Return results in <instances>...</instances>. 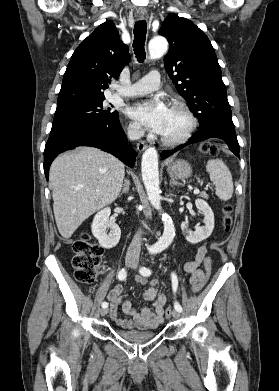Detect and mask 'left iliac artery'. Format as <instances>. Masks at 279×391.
I'll return each instance as SVG.
<instances>
[{
    "label": "left iliac artery",
    "mask_w": 279,
    "mask_h": 391,
    "mask_svg": "<svg viewBox=\"0 0 279 391\" xmlns=\"http://www.w3.org/2000/svg\"><path fill=\"white\" fill-rule=\"evenodd\" d=\"M155 252H156V250H152L151 251V253H155ZM140 273L143 276H150L151 275V270L149 268H146V267H141L140 268ZM171 279H172V288H173V291L175 293L176 290H177V286H178V279H177V276H176L175 273L171 274ZM174 308H175V310H177L179 312L182 311V307H181V305L178 302L174 303Z\"/></svg>",
    "instance_id": "obj_1"
}]
</instances>
